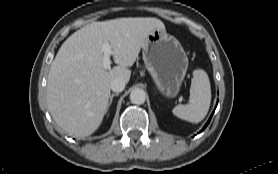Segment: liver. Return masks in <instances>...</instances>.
<instances>
[{
	"mask_svg": "<svg viewBox=\"0 0 278 174\" xmlns=\"http://www.w3.org/2000/svg\"><path fill=\"white\" fill-rule=\"evenodd\" d=\"M163 22L153 17L117 18L90 23L69 36L53 60L47 80L48 109L56 123L77 137L94 133L103 121L110 83L129 82L148 34ZM109 43L117 66L103 68L102 45Z\"/></svg>",
	"mask_w": 278,
	"mask_h": 174,
	"instance_id": "obj_1",
	"label": "liver"
}]
</instances>
